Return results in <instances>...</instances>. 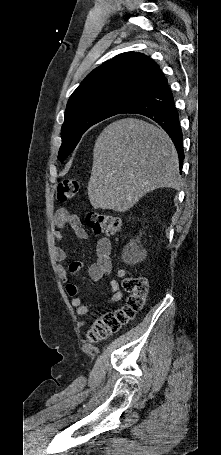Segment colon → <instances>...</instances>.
<instances>
[{
    "instance_id": "5ec220e1",
    "label": "colon",
    "mask_w": 221,
    "mask_h": 455,
    "mask_svg": "<svg viewBox=\"0 0 221 455\" xmlns=\"http://www.w3.org/2000/svg\"><path fill=\"white\" fill-rule=\"evenodd\" d=\"M83 183L76 178L61 181L57 188V199L61 203L72 200L82 189ZM86 225L95 234L117 236L121 233V220L113 215L91 212L86 215ZM125 290V305L117 310L101 315L89 331L91 341H100L116 333L124 324L140 312L146 303L148 281L144 276H128L121 273Z\"/></svg>"
}]
</instances>
